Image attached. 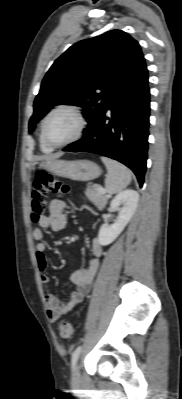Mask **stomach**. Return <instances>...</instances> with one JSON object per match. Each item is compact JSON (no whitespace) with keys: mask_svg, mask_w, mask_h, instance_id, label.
<instances>
[{"mask_svg":"<svg viewBox=\"0 0 182 399\" xmlns=\"http://www.w3.org/2000/svg\"><path fill=\"white\" fill-rule=\"evenodd\" d=\"M40 167L57 176L78 181L92 180L101 175L100 167L89 160L66 161L55 159L42 163Z\"/></svg>","mask_w":182,"mask_h":399,"instance_id":"1","label":"stomach"}]
</instances>
